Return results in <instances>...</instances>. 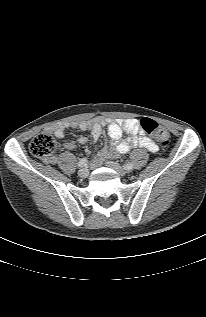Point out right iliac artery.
Masks as SVG:
<instances>
[{
	"label": "right iliac artery",
	"instance_id": "82829eb1",
	"mask_svg": "<svg viewBox=\"0 0 206 317\" xmlns=\"http://www.w3.org/2000/svg\"><path fill=\"white\" fill-rule=\"evenodd\" d=\"M88 163L87 158H82L79 162H78V167H85Z\"/></svg>",
	"mask_w": 206,
	"mask_h": 317
}]
</instances>
